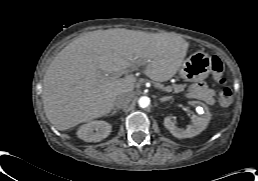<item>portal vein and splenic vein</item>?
Here are the masks:
<instances>
[{"instance_id": "portal-vein-and-splenic-vein-1", "label": "portal vein and splenic vein", "mask_w": 258, "mask_h": 181, "mask_svg": "<svg viewBox=\"0 0 258 181\" xmlns=\"http://www.w3.org/2000/svg\"><path fill=\"white\" fill-rule=\"evenodd\" d=\"M164 90H165L166 92H171V91H172V90L170 89V87H165Z\"/></svg>"}]
</instances>
